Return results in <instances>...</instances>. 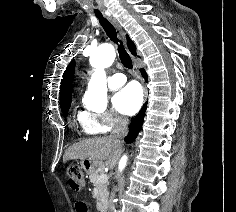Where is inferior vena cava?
Listing matches in <instances>:
<instances>
[{
	"mask_svg": "<svg viewBox=\"0 0 236 212\" xmlns=\"http://www.w3.org/2000/svg\"><path fill=\"white\" fill-rule=\"evenodd\" d=\"M128 123H129L128 118L118 117L115 120L114 127L110 137L118 140L124 138L128 133Z\"/></svg>",
	"mask_w": 236,
	"mask_h": 212,
	"instance_id": "602c4592",
	"label": "inferior vena cava"
}]
</instances>
